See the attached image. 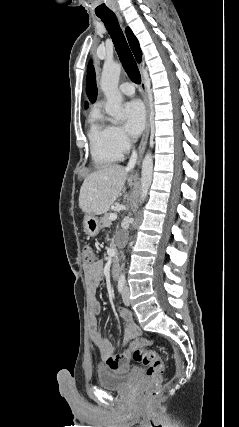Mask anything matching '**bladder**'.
<instances>
[{"label": "bladder", "instance_id": "1", "mask_svg": "<svg viewBox=\"0 0 239 427\" xmlns=\"http://www.w3.org/2000/svg\"><path fill=\"white\" fill-rule=\"evenodd\" d=\"M139 369L131 368L125 373H115L106 369H99L97 372L98 384L107 390H125L128 389L138 378Z\"/></svg>", "mask_w": 239, "mask_h": 427}]
</instances>
